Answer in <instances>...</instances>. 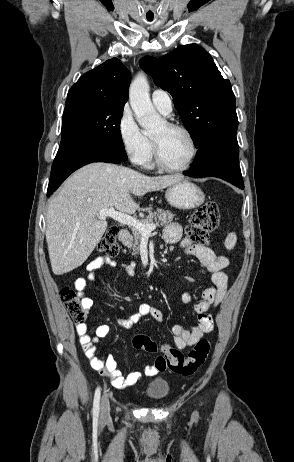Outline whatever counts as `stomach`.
Segmentation results:
<instances>
[{"instance_id":"0dacf381","label":"stomach","mask_w":294,"mask_h":462,"mask_svg":"<svg viewBox=\"0 0 294 462\" xmlns=\"http://www.w3.org/2000/svg\"><path fill=\"white\" fill-rule=\"evenodd\" d=\"M165 198L175 208L193 209L204 202L205 195L197 185L183 179L168 187Z\"/></svg>"}]
</instances>
